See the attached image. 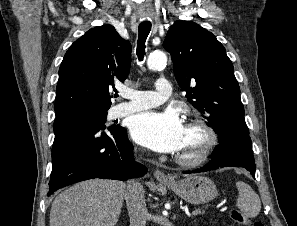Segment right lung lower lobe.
<instances>
[{"instance_id":"1","label":"right lung lower lobe","mask_w":297,"mask_h":226,"mask_svg":"<svg viewBox=\"0 0 297 226\" xmlns=\"http://www.w3.org/2000/svg\"><path fill=\"white\" fill-rule=\"evenodd\" d=\"M53 129L48 196L87 179L127 180L147 172L145 166L134 160L133 145L120 126L106 129L83 110L56 118Z\"/></svg>"}]
</instances>
